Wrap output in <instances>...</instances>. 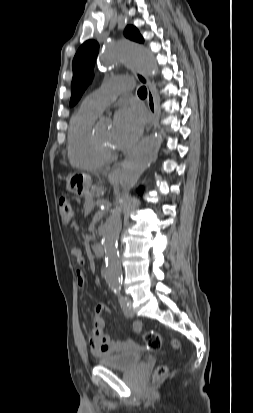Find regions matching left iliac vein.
I'll return each mask as SVG.
<instances>
[{"instance_id":"4c4485c4","label":"left iliac vein","mask_w":253,"mask_h":413,"mask_svg":"<svg viewBox=\"0 0 253 413\" xmlns=\"http://www.w3.org/2000/svg\"><path fill=\"white\" fill-rule=\"evenodd\" d=\"M128 303H129V305L123 309L124 315L126 317H133L135 315V312H134L133 307H132V300L128 299Z\"/></svg>"}]
</instances>
